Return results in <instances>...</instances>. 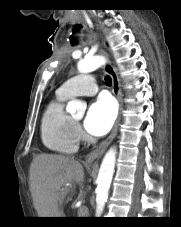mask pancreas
<instances>
[{"label": "pancreas", "mask_w": 181, "mask_h": 227, "mask_svg": "<svg viewBox=\"0 0 181 227\" xmlns=\"http://www.w3.org/2000/svg\"><path fill=\"white\" fill-rule=\"evenodd\" d=\"M86 212H87V211H83V212H82L81 209L79 208V210H78V217H86V215H85Z\"/></svg>", "instance_id": "cf45deb5"}]
</instances>
